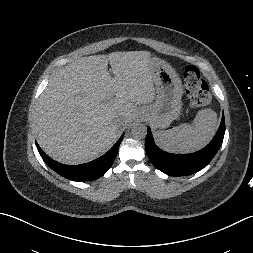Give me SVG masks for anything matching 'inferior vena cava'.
<instances>
[{"label":"inferior vena cava","instance_id":"1","mask_svg":"<svg viewBox=\"0 0 253 253\" xmlns=\"http://www.w3.org/2000/svg\"><path fill=\"white\" fill-rule=\"evenodd\" d=\"M115 126L119 129H124L126 127V122L121 116H116L114 118Z\"/></svg>","mask_w":253,"mask_h":253}]
</instances>
